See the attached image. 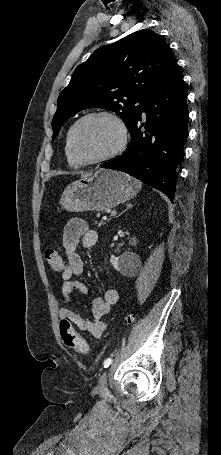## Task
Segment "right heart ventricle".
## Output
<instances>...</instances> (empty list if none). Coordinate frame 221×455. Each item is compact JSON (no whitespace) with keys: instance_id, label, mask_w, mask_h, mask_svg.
I'll return each instance as SVG.
<instances>
[{"instance_id":"right-heart-ventricle-1","label":"right heart ventricle","mask_w":221,"mask_h":455,"mask_svg":"<svg viewBox=\"0 0 221 455\" xmlns=\"http://www.w3.org/2000/svg\"><path fill=\"white\" fill-rule=\"evenodd\" d=\"M69 137H70V130L68 131L66 135V141H65V155L67 158L68 163L73 166V167H79L81 165V162L75 158L73 155L71 149H70V144H69Z\"/></svg>"}]
</instances>
